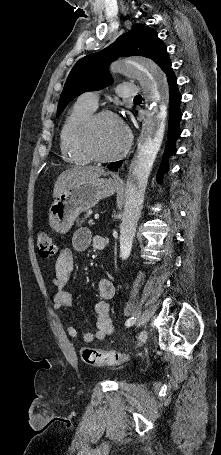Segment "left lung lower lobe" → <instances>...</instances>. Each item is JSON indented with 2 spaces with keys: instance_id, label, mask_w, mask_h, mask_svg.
<instances>
[{
  "instance_id": "left-lung-lower-lobe-1",
  "label": "left lung lower lobe",
  "mask_w": 221,
  "mask_h": 455,
  "mask_svg": "<svg viewBox=\"0 0 221 455\" xmlns=\"http://www.w3.org/2000/svg\"><path fill=\"white\" fill-rule=\"evenodd\" d=\"M167 76L169 84V123H168V136L165 151L162 157V161L157 173V181L161 182L163 175L169 170L168 159L176 153L175 141L180 136L181 131L179 128V122L182 117V113L179 110L181 95L177 88V79L173 73L171 65L164 71ZM122 164V161L114 162L108 165L111 170H117Z\"/></svg>"
}]
</instances>
